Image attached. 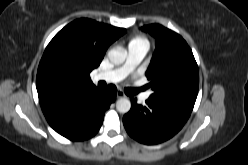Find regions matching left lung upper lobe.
I'll list each match as a JSON object with an SVG mask.
<instances>
[{
  "instance_id": "1",
  "label": "left lung upper lobe",
  "mask_w": 248,
  "mask_h": 165,
  "mask_svg": "<svg viewBox=\"0 0 248 165\" xmlns=\"http://www.w3.org/2000/svg\"><path fill=\"white\" fill-rule=\"evenodd\" d=\"M156 38V50L146 71L153 93L159 101L191 112L198 93L199 72L192 50L174 31L159 24L143 26Z\"/></svg>"
}]
</instances>
